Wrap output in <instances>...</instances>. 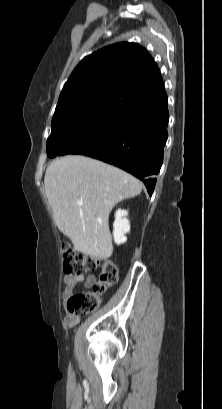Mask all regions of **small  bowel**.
<instances>
[{"instance_id": "obj_1", "label": "small bowel", "mask_w": 222, "mask_h": 409, "mask_svg": "<svg viewBox=\"0 0 222 409\" xmlns=\"http://www.w3.org/2000/svg\"><path fill=\"white\" fill-rule=\"evenodd\" d=\"M64 289L62 291V299L68 300L74 295L75 288L79 283H83L85 289H90L95 283V276L78 275V274H66L63 279ZM79 322V317L71 314H67L64 318V323L67 327L71 328Z\"/></svg>"}]
</instances>
